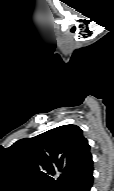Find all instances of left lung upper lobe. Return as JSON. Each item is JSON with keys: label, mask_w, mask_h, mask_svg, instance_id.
Returning a JSON list of instances; mask_svg holds the SVG:
<instances>
[{"label": "left lung upper lobe", "mask_w": 114, "mask_h": 191, "mask_svg": "<svg viewBox=\"0 0 114 191\" xmlns=\"http://www.w3.org/2000/svg\"><path fill=\"white\" fill-rule=\"evenodd\" d=\"M22 167L61 189L92 157L87 139L76 125H63L32 138L18 140L8 148ZM50 175H57L54 180Z\"/></svg>", "instance_id": "1"}]
</instances>
